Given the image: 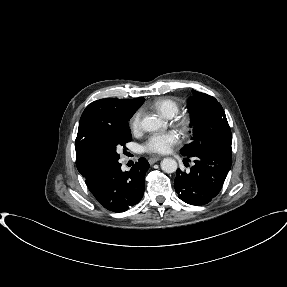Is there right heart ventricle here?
<instances>
[{
    "mask_svg": "<svg viewBox=\"0 0 287 287\" xmlns=\"http://www.w3.org/2000/svg\"><path fill=\"white\" fill-rule=\"evenodd\" d=\"M151 105L167 118L175 116L180 109L178 102L171 98H158Z\"/></svg>",
    "mask_w": 287,
    "mask_h": 287,
    "instance_id": "right-heart-ventricle-1",
    "label": "right heart ventricle"
}]
</instances>
